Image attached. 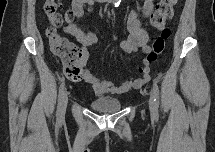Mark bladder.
Instances as JSON below:
<instances>
[{"instance_id":"1","label":"bladder","mask_w":215,"mask_h":152,"mask_svg":"<svg viewBox=\"0 0 215 152\" xmlns=\"http://www.w3.org/2000/svg\"><path fill=\"white\" fill-rule=\"evenodd\" d=\"M122 102L115 98L101 97L93 101L92 108L99 113H114L122 109Z\"/></svg>"}]
</instances>
